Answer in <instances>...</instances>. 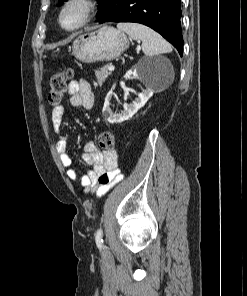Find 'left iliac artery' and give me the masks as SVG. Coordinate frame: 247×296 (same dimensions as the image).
Masks as SVG:
<instances>
[{
  "mask_svg": "<svg viewBox=\"0 0 247 296\" xmlns=\"http://www.w3.org/2000/svg\"><path fill=\"white\" fill-rule=\"evenodd\" d=\"M95 239H96V244L101 247L102 243H103L101 228L97 230L96 235H95Z\"/></svg>",
  "mask_w": 247,
  "mask_h": 296,
  "instance_id": "44dca946",
  "label": "left iliac artery"
}]
</instances>
